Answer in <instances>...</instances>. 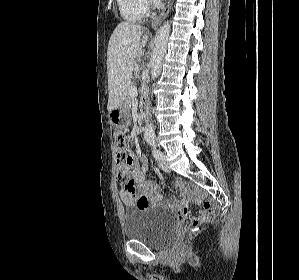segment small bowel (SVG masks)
Returning a JSON list of instances; mask_svg holds the SVG:
<instances>
[{
  "label": "small bowel",
  "mask_w": 299,
  "mask_h": 280,
  "mask_svg": "<svg viewBox=\"0 0 299 280\" xmlns=\"http://www.w3.org/2000/svg\"><path fill=\"white\" fill-rule=\"evenodd\" d=\"M146 168L147 160L144 157L137 159L133 155V164L125 174L127 179L123 182V189L120 192L124 205L128 207L136 205L138 208L163 206L181 210L185 201L184 197H174L170 201L164 200L160 187L145 179ZM182 183L183 180L178 181L180 188H182Z\"/></svg>",
  "instance_id": "c3829d8e"
}]
</instances>
